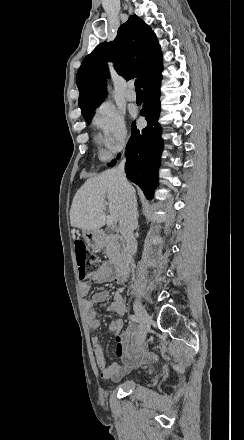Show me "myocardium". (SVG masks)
<instances>
[{"instance_id":"myocardium-1","label":"myocardium","mask_w":244,"mask_h":440,"mask_svg":"<svg viewBox=\"0 0 244 440\" xmlns=\"http://www.w3.org/2000/svg\"><path fill=\"white\" fill-rule=\"evenodd\" d=\"M163 182H165L167 185H170L171 180L169 177H166V179Z\"/></svg>"}]
</instances>
